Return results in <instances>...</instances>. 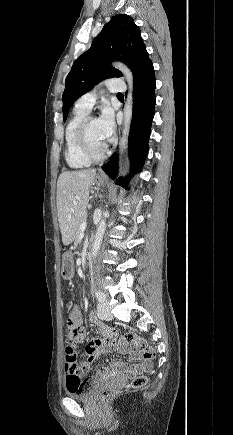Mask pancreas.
Listing matches in <instances>:
<instances>
[{
  "label": "pancreas",
  "instance_id": "pancreas-1",
  "mask_svg": "<svg viewBox=\"0 0 233 435\" xmlns=\"http://www.w3.org/2000/svg\"><path fill=\"white\" fill-rule=\"evenodd\" d=\"M86 220V215H84L82 218H81V220H80V223H79V227H80V224L82 223V222H84ZM79 233V228H78V231H77V234Z\"/></svg>",
  "mask_w": 233,
  "mask_h": 435
}]
</instances>
